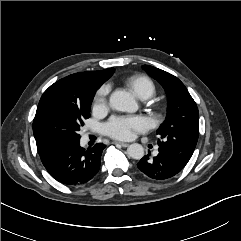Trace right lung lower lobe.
<instances>
[{
    "label": "right lung lower lobe",
    "mask_w": 241,
    "mask_h": 241,
    "mask_svg": "<svg viewBox=\"0 0 241 241\" xmlns=\"http://www.w3.org/2000/svg\"><path fill=\"white\" fill-rule=\"evenodd\" d=\"M105 145L98 143L91 149L80 147L79 140L55 146L41 154L40 158L48 173L65 185H82L99 171Z\"/></svg>",
    "instance_id": "right-lung-lower-lobe-1"
}]
</instances>
